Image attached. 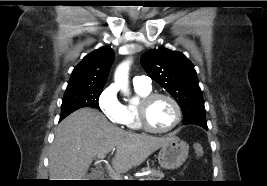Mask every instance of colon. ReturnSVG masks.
Returning <instances> with one entry per match:
<instances>
[{
  "label": "colon",
  "mask_w": 267,
  "mask_h": 186,
  "mask_svg": "<svg viewBox=\"0 0 267 186\" xmlns=\"http://www.w3.org/2000/svg\"><path fill=\"white\" fill-rule=\"evenodd\" d=\"M193 150L197 157H201L203 155V147L200 143H194Z\"/></svg>",
  "instance_id": "obj_1"
}]
</instances>
